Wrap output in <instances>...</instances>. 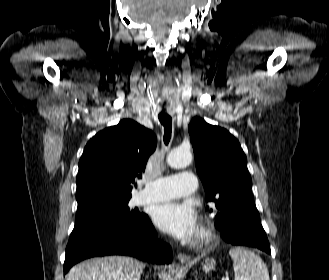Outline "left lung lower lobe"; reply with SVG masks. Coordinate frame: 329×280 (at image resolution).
Returning a JSON list of instances; mask_svg holds the SVG:
<instances>
[{"instance_id":"obj_1","label":"left lung lower lobe","mask_w":329,"mask_h":280,"mask_svg":"<svg viewBox=\"0 0 329 280\" xmlns=\"http://www.w3.org/2000/svg\"><path fill=\"white\" fill-rule=\"evenodd\" d=\"M222 237L232 245L258 248L271 254L266 233L260 223V215L253 201L241 206L234 216L221 225Z\"/></svg>"}]
</instances>
